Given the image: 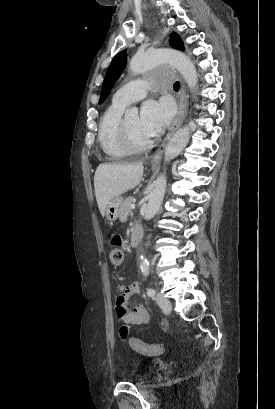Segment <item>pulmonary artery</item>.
<instances>
[{
  "mask_svg": "<svg viewBox=\"0 0 275 409\" xmlns=\"http://www.w3.org/2000/svg\"><path fill=\"white\" fill-rule=\"evenodd\" d=\"M143 86L145 88H151L153 86V81L151 79H145L143 81ZM141 86V81L139 79H132L129 85H118L117 93L113 97V103L122 107H127L132 102L141 100L145 92Z\"/></svg>",
  "mask_w": 275,
  "mask_h": 409,
  "instance_id": "1",
  "label": "pulmonary artery"
}]
</instances>
